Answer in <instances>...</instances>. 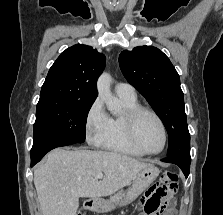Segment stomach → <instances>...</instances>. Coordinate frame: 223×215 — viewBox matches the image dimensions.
<instances>
[{"mask_svg": "<svg viewBox=\"0 0 223 215\" xmlns=\"http://www.w3.org/2000/svg\"><path fill=\"white\" fill-rule=\"evenodd\" d=\"M159 173L160 171L158 167H155L153 163H149L147 167H143L141 171H138L134 179V183L131 187L132 194H133L132 196L137 197L139 193H142V191H145V189H147V187H149V185L153 183L154 179L158 177ZM135 197L129 196V198L125 200V202H121V205H123V203H130V201H133ZM105 205H109V204L105 203L103 200L102 202L97 201L96 203V207H98V211H106V209H101V206H105Z\"/></svg>", "mask_w": 223, "mask_h": 215, "instance_id": "obj_1", "label": "stomach"}]
</instances>
